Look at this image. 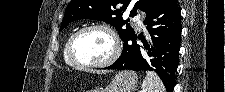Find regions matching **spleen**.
<instances>
[{
	"mask_svg": "<svg viewBox=\"0 0 225 92\" xmlns=\"http://www.w3.org/2000/svg\"><path fill=\"white\" fill-rule=\"evenodd\" d=\"M166 89L159 78L153 71H147L146 77L141 85V92H165Z\"/></svg>",
	"mask_w": 225,
	"mask_h": 92,
	"instance_id": "3e777b00",
	"label": "spleen"
}]
</instances>
